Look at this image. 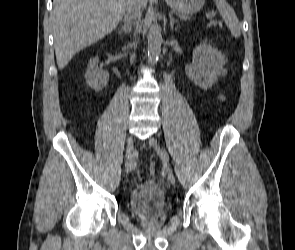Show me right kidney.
Segmentation results:
<instances>
[{"label": "right kidney", "instance_id": "right-kidney-1", "mask_svg": "<svg viewBox=\"0 0 295 250\" xmlns=\"http://www.w3.org/2000/svg\"><path fill=\"white\" fill-rule=\"evenodd\" d=\"M98 57L90 60L85 74L87 84L95 91L103 89L109 81V73L98 68Z\"/></svg>", "mask_w": 295, "mask_h": 250}]
</instances>
